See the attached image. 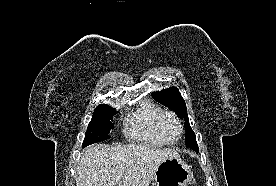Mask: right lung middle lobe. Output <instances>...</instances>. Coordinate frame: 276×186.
<instances>
[{
	"label": "right lung middle lobe",
	"instance_id": "1",
	"mask_svg": "<svg viewBox=\"0 0 276 186\" xmlns=\"http://www.w3.org/2000/svg\"><path fill=\"white\" fill-rule=\"evenodd\" d=\"M115 113L116 111L106 104H100L95 108L83 141V147L110 138L109 132L114 128L111 120Z\"/></svg>",
	"mask_w": 276,
	"mask_h": 186
}]
</instances>
